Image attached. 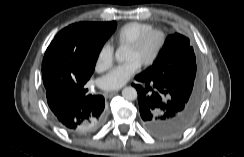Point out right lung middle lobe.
Wrapping results in <instances>:
<instances>
[{
    "mask_svg": "<svg viewBox=\"0 0 244 157\" xmlns=\"http://www.w3.org/2000/svg\"><path fill=\"white\" fill-rule=\"evenodd\" d=\"M115 21L80 22L61 30L43 58L42 77L47 91L68 84H85L106 40L115 31Z\"/></svg>",
    "mask_w": 244,
    "mask_h": 157,
    "instance_id": "right-lung-middle-lobe-1",
    "label": "right lung middle lobe"
}]
</instances>
